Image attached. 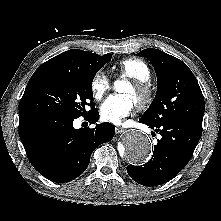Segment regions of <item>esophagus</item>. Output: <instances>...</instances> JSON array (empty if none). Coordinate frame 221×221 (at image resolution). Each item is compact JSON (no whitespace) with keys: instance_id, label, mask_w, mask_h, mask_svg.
Returning a JSON list of instances; mask_svg holds the SVG:
<instances>
[{"instance_id":"obj_1","label":"esophagus","mask_w":221,"mask_h":221,"mask_svg":"<svg viewBox=\"0 0 221 221\" xmlns=\"http://www.w3.org/2000/svg\"><path fill=\"white\" fill-rule=\"evenodd\" d=\"M115 131H116V134H121V133H123L125 130H124L123 128H121V127H116V128H115Z\"/></svg>"}]
</instances>
